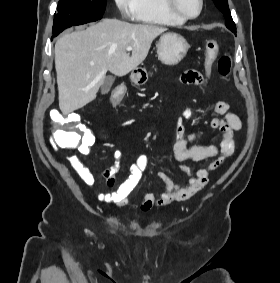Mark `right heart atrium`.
I'll list each match as a JSON object with an SVG mask.
<instances>
[{
  "label": "right heart atrium",
  "mask_w": 280,
  "mask_h": 283,
  "mask_svg": "<svg viewBox=\"0 0 280 283\" xmlns=\"http://www.w3.org/2000/svg\"><path fill=\"white\" fill-rule=\"evenodd\" d=\"M114 2L124 17L133 15L136 8V0H114Z\"/></svg>",
  "instance_id": "d8ad5b80"
}]
</instances>
